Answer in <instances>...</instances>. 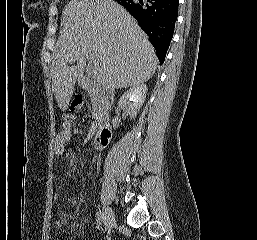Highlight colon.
<instances>
[{
    "label": "colon",
    "mask_w": 257,
    "mask_h": 240,
    "mask_svg": "<svg viewBox=\"0 0 257 240\" xmlns=\"http://www.w3.org/2000/svg\"><path fill=\"white\" fill-rule=\"evenodd\" d=\"M83 107V99L80 95H75L71 101L72 110H80ZM70 119V118H68Z\"/></svg>",
    "instance_id": "5ec220e1"
}]
</instances>
